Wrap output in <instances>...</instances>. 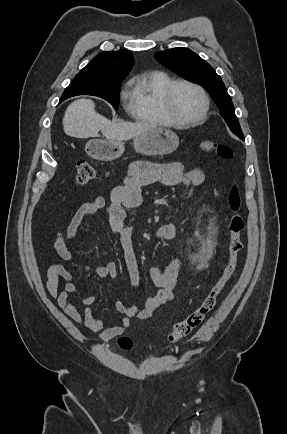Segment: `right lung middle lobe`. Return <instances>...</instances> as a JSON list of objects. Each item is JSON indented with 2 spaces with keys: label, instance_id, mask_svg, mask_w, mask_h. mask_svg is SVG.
I'll list each match as a JSON object with an SVG mask.
<instances>
[{
  "label": "right lung middle lobe",
  "instance_id": "obj_1",
  "mask_svg": "<svg viewBox=\"0 0 287 434\" xmlns=\"http://www.w3.org/2000/svg\"><path fill=\"white\" fill-rule=\"evenodd\" d=\"M123 80H109L76 75L74 80L63 92L59 103L76 95H93L105 99L115 109H118L119 93Z\"/></svg>",
  "mask_w": 287,
  "mask_h": 434
}]
</instances>
